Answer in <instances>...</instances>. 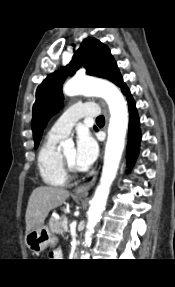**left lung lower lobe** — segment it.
Here are the masks:
<instances>
[{
    "mask_svg": "<svg viewBox=\"0 0 175 287\" xmlns=\"http://www.w3.org/2000/svg\"><path fill=\"white\" fill-rule=\"evenodd\" d=\"M123 94L127 97L128 107H129V131H128V145H127V163L131 168L138 156L139 146L141 140V132H140V122L139 117L136 110V104L134 99L130 93V90L126 86L122 89Z\"/></svg>",
    "mask_w": 175,
    "mask_h": 287,
    "instance_id": "0a47b994",
    "label": "left lung lower lobe"
}]
</instances>
